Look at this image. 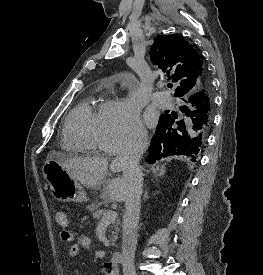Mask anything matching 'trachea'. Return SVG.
<instances>
[{
    "label": "trachea",
    "mask_w": 263,
    "mask_h": 275,
    "mask_svg": "<svg viewBox=\"0 0 263 275\" xmlns=\"http://www.w3.org/2000/svg\"><path fill=\"white\" fill-rule=\"evenodd\" d=\"M167 87L168 88H172V84H167Z\"/></svg>",
    "instance_id": "3493384b"
}]
</instances>
